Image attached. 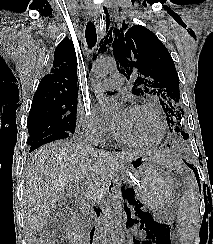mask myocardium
I'll use <instances>...</instances> for the list:
<instances>
[{"label":"myocardium","instance_id":"obj_1","mask_svg":"<svg viewBox=\"0 0 213 244\" xmlns=\"http://www.w3.org/2000/svg\"><path fill=\"white\" fill-rule=\"evenodd\" d=\"M128 110H145V111L149 112L150 114H152V116L154 117V119L156 120V122L159 126L160 136L157 140H155L153 142H149V143L135 142V141H130V140H127V139L121 137L119 135V133L116 131V129H114L113 134H114L115 139L125 146L134 147V148L148 149V148H153L155 146H158L165 137V126H164V123H163L159 113L157 112V110L153 106H151L149 104H144V103L133 104L128 108Z\"/></svg>","mask_w":213,"mask_h":244}]
</instances>
